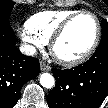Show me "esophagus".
<instances>
[{"label": "esophagus", "instance_id": "1", "mask_svg": "<svg viewBox=\"0 0 108 108\" xmlns=\"http://www.w3.org/2000/svg\"><path fill=\"white\" fill-rule=\"evenodd\" d=\"M40 68L42 71H46V72L51 70V67L49 65L45 64L44 62H40Z\"/></svg>", "mask_w": 108, "mask_h": 108}]
</instances>
